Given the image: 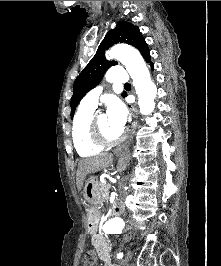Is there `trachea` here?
Instances as JSON below:
<instances>
[{"label":"trachea","mask_w":221,"mask_h":266,"mask_svg":"<svg viewBox=\"0 0 221 266\" xmlns=\"http://www.w3.org/2000/svg\"><path fill=\"white\" fill-rule=\"evenodd\" d=\"M124 86H131L129 83H125Z\"/></svg>","instance_id":"1"}]
</instances>
